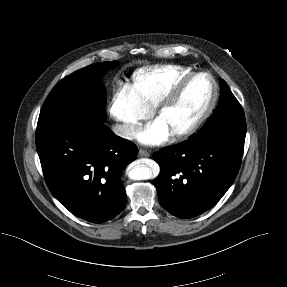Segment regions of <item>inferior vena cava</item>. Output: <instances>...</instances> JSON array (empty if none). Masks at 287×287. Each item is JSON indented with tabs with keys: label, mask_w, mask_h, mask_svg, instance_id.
<instances>
[{
	"label": "inferior vena cava",
	"mask_w": 287,
	"mask_h": 287,
	"mask_svg": "<svg viewBox=\"0 0 287 287\" xmlns=\"http://www.w3.org/2000/svg\"><path fill=\"white\" fill-rule=\"evenodd\" d=\"M113 132L125 139H133L137 134V130L133 124H117L112 127Z\"/></svg>",
	"instance_id": "obj_1"
}]
</instances>
